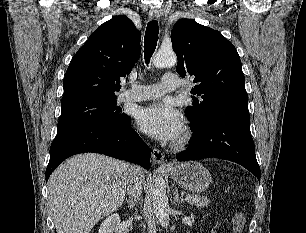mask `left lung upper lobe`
Wrapping results in <instances>:
<instances>
[{"instance_id": "5c2ea615", "label": "left lung upper lobe", "mask_w": 306, "mask_h": 233, "mask_svg": "<svg viewBox=\"0 0 306 233\" xmlns=\"http://www.w3.org/2000/svg\"><path fill=\"white\" fill-rule=\"evenodd\" d=\"M171 41L178 57L176 71L194 79L191 93L199 96L185 109L192 130L219 118L250 119L241 60L230 41L191 19L173 26Z\"/></svg>"}]
</instances>
